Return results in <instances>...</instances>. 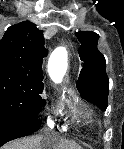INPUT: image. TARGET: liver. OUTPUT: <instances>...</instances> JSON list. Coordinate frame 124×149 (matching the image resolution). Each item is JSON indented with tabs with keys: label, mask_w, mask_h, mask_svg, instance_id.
Wrapping results in <instances>:
<instances>
[{
	"label": "liver",
	"mask_w": 124,
	"mask_h": 149,
	"mask_svg": "<svg viewBox=\"0 0 124 149\" xmlns=\"http://www.w3.org/2000/svg\"><path fill=\"white\" fill-rule=\"evenodd\" d=\"M56 140V137L53 136H35L15 141L3 149H42L44 144L49 145ZM58 149H81V147L73 142L63 141Z\"/></svg>",
	"instance_id": "6515ba94"
}]
</instances>
